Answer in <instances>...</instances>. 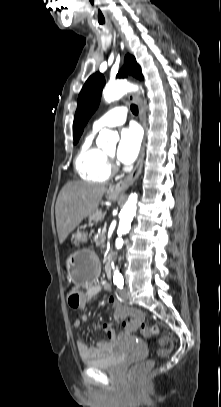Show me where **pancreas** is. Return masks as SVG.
Returning a JSON list of instances; mask_svg holds the SVG:
<instances>
[{
	"mask_svg": "<svg viewBox=\"0 0 221 407\" xmlns=\"http://www.w3.org/2000/svg\"><path fill=\"white\" fill-rule=\"evenodd\" d=\"M105 240H106V231H102L101 233H98L94 238L96 246H101V247H104Z\"/></svg>",
	"mask_w": 221,
	"mask_h": 407,
	"instance_id": "pancreas-1",
	"label": "pancreas"
}]
</instances>
